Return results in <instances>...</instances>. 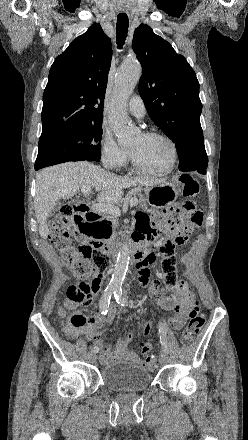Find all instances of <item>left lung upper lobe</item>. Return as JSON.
Returning <instances> with one entry per match:
<instances>
[{
	"mask_svg": "<svg viewBox=\"0 0 248 440\" xmlns=\"http://www.w3.org/2000/svg\"><path fill=\"white\" fill-rule=\"evenodd\" d=\"M132 47L142 65L140 96L151 119L175 143L179 169L207 167L200 124L202 104L194 70L147 25L135 30Z\"/></svg>",
	"mask_w": 248,
	"mask_h": 440,
	"instance_id": "left-lung-upper-lobe-1",
	"label": "left lung upper lobe"
}]
</instances>
